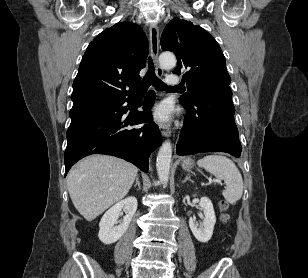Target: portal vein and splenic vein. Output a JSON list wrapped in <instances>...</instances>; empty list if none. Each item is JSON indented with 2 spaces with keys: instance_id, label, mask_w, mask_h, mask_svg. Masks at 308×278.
Wrapping results in <instances>:
<instances>
[{
  "instance_id": "18ae733b",
  "label": "portal vein and splenic vein",
  "mask_w": 308,
  "mask_h": 278,
  "mask_svg": "<svg viewBox=\"0 0 308 278\" xmlns=\"http://www.w3.org/2000/svg\"><path fill=\"white\" fill-rule=\"evenodd\" d=\"M209 182H220V180H215V179H209Z\"/></svg>"
}]
</instances>
